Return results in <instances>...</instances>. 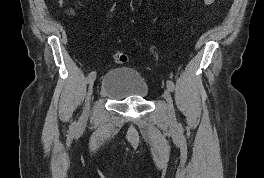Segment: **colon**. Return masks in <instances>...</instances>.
<instances>
[{"label":"colon","instance_id":"1","mask_svg":"<svg viewBox=\"0 0 264 178\" xmlns=\"http://www.w3.org/2000/svg\"><path fill=\"white\" fill-rule=\"evenodd\" d=\"M113 60L115 63L122 64L128 61V56L123 52H117L113 55Z\"/></svg>","mask_w":264,"mask_h":178}]
</instances>
